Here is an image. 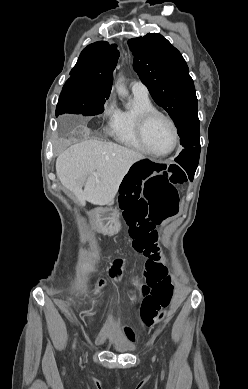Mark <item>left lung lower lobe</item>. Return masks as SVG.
I'll use <instances>...</instances> for the list:
<instances>
[{
    "label": "left lung lower lobe",
    "mask_w": 248,
    "mask_h": 389,
    "mask_svg": "<svg viewBox=\"0 0 248 389\" xmlns=\"http://www.w3.org/2000/svg\"><path fill=\"white\" fill-rule=\"evenodd\" d=\"M199 119L197 111L188 113L182 120L181 125L178 128L179 136L187 135L189 139L199 140ZM200 155V143L199 141L193 146L183 149L180 154L175 158V161L180 164L188 174V178L192 181L196 168L198 166Z\"/></svg>",
    "instance_id": "0a47b994"
}]
</instances>
